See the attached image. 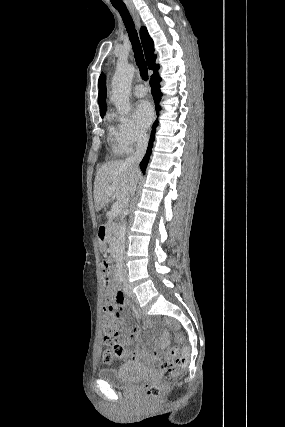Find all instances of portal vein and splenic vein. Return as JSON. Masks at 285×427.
<instances>
[{
  "label": "portal vein and splenic vein",
  "mask_w": 285,
  "mask_h": 427,
  "mask_svg": "<svg viewBox=\"0 0 285 427\" xmlns=\"http://www.w3.org/2000/svg\"><path fill=\"white\" fill-rule=\"evenodd\" d=\"M116 186H117V184H113L111 187H110V192H111V194L115 191V189H116ZM121 207H122V203L121 202H115L114 204H113V206H112V215L113 216H117L118 214H119V212H120V210H121Z\"/></svg>",
  "instance_id": "1"
}]
</instances>
